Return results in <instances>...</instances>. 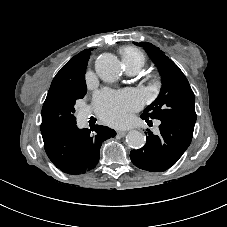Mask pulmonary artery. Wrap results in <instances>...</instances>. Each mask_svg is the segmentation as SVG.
<instances>
[{"label": "pulmonary artery", "instance_id": "e3ab8cb5", "mask_svg": "<svg viewBox=\"0 0 227 227\" xmlns=\"http://www.w3.org/2000/svg\"><path fill=\"white\" fill-rule=\"evenodd\" d=\"M125 71L128 75H135L138 73V69L134 67H125Z\"/></svg>", "mask_w": 227, "mask_h": 227}]
</instances>
